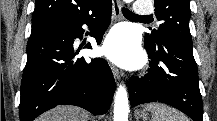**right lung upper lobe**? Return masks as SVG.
<instances>
[{
    "instance_id": "obj_1",
    "label": "right lung upper lobe",
    "mask_w": 217,
    "mask_h": 121,
    "mask_svg": "<svg viewBox=\"0 0 217 121\" xmlns=\"http://www.w3.org/2000/svg\"><path fill=\"white\" fill-rule=\"evenodd\" d=\"M111 0H36L32 23L59 21L73 23L101 10Z\"/></svg>"
}]
</instances>
